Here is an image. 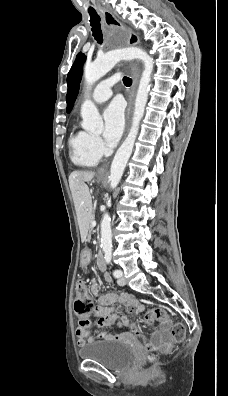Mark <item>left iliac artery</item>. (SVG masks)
Listing matches in <instances>:
<instances>
[{
	"label": "left iliac artery",
	"mask_w": 228,
	"mask_h": 396,
	"mask_svg": "<svg viewBox=\"0 0 228 396\" xmlns=\"http://www.w3.org/2000/svg\"><path fill=\"white\" fill-rule=\"evenodd\" d=\"M105 260L107 263L111 262V251L105 252ZM113 275H114V277L119 278L122 275V272L120 270L116 269L113 271Z\"/></svg>",
	"instance_id": "left-iliac-artery-1"
}]
</instances>
